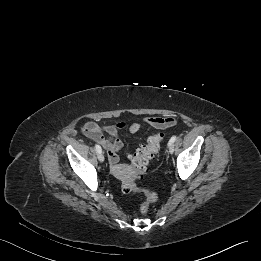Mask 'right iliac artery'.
Segmentation results:
<instances>
[{"instance_id":"82829eb1","label":"right iliac artery","mask_w":261,"mask_h":261,"mask_svg":"<svg viewBox=\"0 0 261 261\" xmlns=\"http://www.w3.org/2000/svg\"><path fill=\"white\" fill-rule=\"evenodd\" d=\"M95 149H96V151H97L98 153H101V152H102V149H101V147H100L98 144L95 145Z\"/></svg>"}]
</instances>
